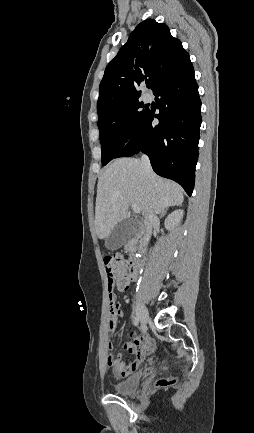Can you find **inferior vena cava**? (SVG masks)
Listing matches in <instances>:
<instances>
[{"mask_svg": "<svg viewBox=\"0 0 254 433\" xmlns=\"http://www.w3.org/2000/svg\"><path fill=\"white\" fill-rule=\"evenodd\" d=\"M141 164H142L143 169L146 172L152 171L150 160H149L147 155H142ZM156 219H157V216L153 211H150L147 214V216L145 217V234H144V237L141 239V242H140L142 250H143V247H145L149 242V239H150L151 234H152V222L155 221Z\"/></svg>", "mask_w": 254, "mask_h": 433, "instance_id": "inferior-vena-cava-1", "label": "inferior vena cava"}]
</instances>
